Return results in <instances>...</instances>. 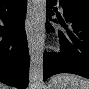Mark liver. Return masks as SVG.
<instances>
[{"mask_svg":"<svg viewBox=\"0 0 89 89\" xmlns=\"http://www.w3.org/2000/svg\"><path fill=\"white\" fill-rule=\"evenodd\" d=\"M3 88L2 89H7L6 87L2 86Z\"/></svg>","mask_w":89,"mask_h":89,"instance_id":"obj_1","label":"liver"}]
</instances>
